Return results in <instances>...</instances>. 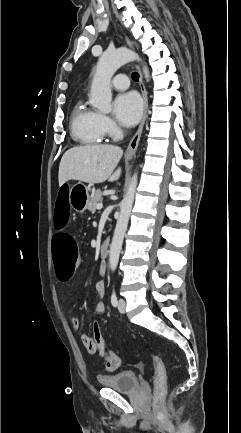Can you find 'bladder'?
<instances>
[{
    "label": "bladder",
    "mask_w": 241,
    "mask_h": 433,
    "mask_svg": "<svg viewBox=\"0 0 241 433\" xmlns=\"http://www.w3.org/2000/svg\"><path fill=\"white\" fill-rule=\"evenodd\" d=\"M98 383L105 388L121 392H133L139 386V377L133 371H121L110 375H99Z\"/></svg>",
    "instance_id": "1"
}]
</instances>
